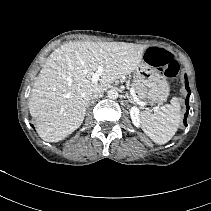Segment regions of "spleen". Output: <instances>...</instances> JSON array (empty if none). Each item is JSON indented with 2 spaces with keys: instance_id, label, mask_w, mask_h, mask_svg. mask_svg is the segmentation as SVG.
I'll list each match as a JSON object with an SVG mask.
<instances>
[{
  "instance_id": "obj_1",
  "label": "spleen",
  "mask_w": 211,
  "mask_h": 211,
  "mask_svg": "<svg viewBox=\"0 0 211 211\" xmlns=\"http://www.w3.org/2000/svg\"><path fill=\"white\" fill-rule=\"evenodd\" d=\"M181 120L178 98L151 114L145 111L141 115V127L145 134L156 144H165L175 135Z\"/></svg>"
}]
</instances>
